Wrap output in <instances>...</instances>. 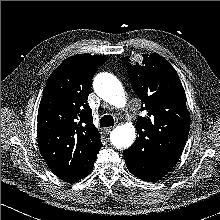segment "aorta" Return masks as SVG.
<instances>
[{
  "mask_svg": "<svg viewBox=\"0 0 220 220\" xmlns=\"http://www.w3.org/2000/svg\"><path fill=\"white\" fill-rule=\"evenodd\" d=\"M94 90L100 98L117 108L126 104L121 82L110 73H100L95 77ZM110 140L117 149L130 147L135 140V127L131 123L116 127L110 134Z\"/></svg>",
  "mask_w": 220,
  "mask_h": 220,
  "instance_id": "1",
  "label": "aorta"
}]
</instances>
